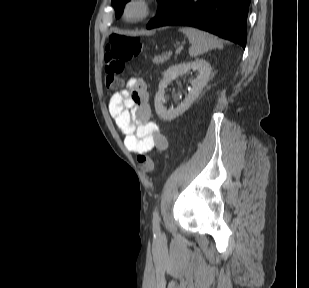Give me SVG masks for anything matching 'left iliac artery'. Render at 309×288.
Masks as SVG:
<instances>
[{
	"instance_id": "left-iliac-artery-1",
	"label": "left iliac artery",
	"mask_w": 309,
	"mask_h": 288,
	"mask_svg": "<svg viewBox=\"0 0 309 288\" xmlns=\"http://www.w3.org/2000/svg\"><path fill=\"white\" fill-rule=\"evenodd\" d=\"M153 228L159 230V211L157 208L153 212Z\"/></svg>"
}]
</instances>
